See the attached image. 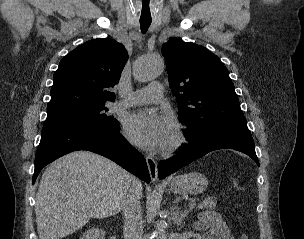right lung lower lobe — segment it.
Masks as SVG:
<instances>
[{"label": "right lung lower lobe", "instance_id": "98d812e1", "mask_svg": "<svg viewBox=\"0 0 304 239\" xmlns=\"http://www.w3.org/2000/svg\"><path fill=\"white\" fill-rule=\"evenodd\" d=\"M76 150L105 156L145 182H150L145 158L120 134L119 126L109 131L91 128L43 130L35 157L33 184L47 164Z\"/></svg>", "mask_w": 304, "mask_h": 239}]
</instances>
